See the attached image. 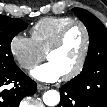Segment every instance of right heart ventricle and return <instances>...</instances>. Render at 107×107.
Segmentation results:
<instances>
[{
	"label": "right heart ventricle",
	"mask_w": 107,
	"mask_h": 107,
	"mask_svg": "<svg viewBox=\"0 0 107 107\" xmlns=\"http://www.w3.org/2000/svg\"><path fill=\"white\" fill-rule=\"evenodd\" d=\"M73 21V18L67 16L42 18L32 27L31 38L38 48L46 53L61 30Z\"/></svg>",
	"instance_id": "e07e8e85"
}]
</instances>
